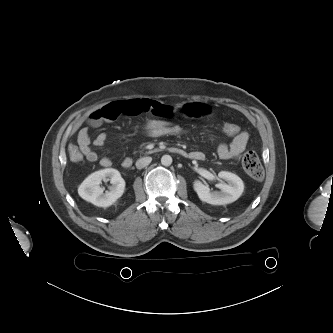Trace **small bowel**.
I'll return each instance as SVG.
<instances>
[{
	"instance_id": "c3829d8e",
	"label": "small bowel",
	"mask_w": 333,
	"mask_h": 333,
	"mask_svg": "<svg viewBox=\"0 0 333 333\" xmlns=\"http://www.w3.org/2000/svg\"><path fill=\"white\" fill-rule=\"evenodd\" d=\"M151 112L160 120H173L176 116L175 110L168 105L162 104L150 99H132L111 102L102 108L90 114L88 126L82 127L77 135V144L82 156L89 162H95L98 159L97 153L91 148V139L89 136V127L95 128L103 122L115 120L119 116H137L142 113ZM107 141L106 133H99L93 140L96 147H102ZM248 143V134L239 133L230 143H221L218 146V154L222 159H237L244 152ZM194 159H203L201 152L190 153ZM112 160L109 157L100 159L103 167L112 166Z\"/></svg>"
}]
</instances>
